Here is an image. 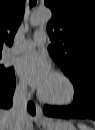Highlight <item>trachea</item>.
Returning <instances> with one entry per match:
<instances>
[{
  "mask_svg": "<svg viewBox=\"0 0 95 130\" xmlns=\"http://www.w3.org/2000/svg\"><path fill=\"white\" fill-rule=\"evenodd\" d=\"M30 7H33V6H35V4H36V0H30Z\"/></svg>",
  "mask_w": 95,
  "mask_h": 130,
  "instance_id": "1",
  "label": "trachea"
}]
</instances>
